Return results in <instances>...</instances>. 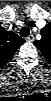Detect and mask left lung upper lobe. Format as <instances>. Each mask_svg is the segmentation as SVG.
<instances>
[{
    "label": "left lung upper lobe",
    "mask_w": 51,
    "mask_h": 101,
    "mask_svg": "<svg viewBox=\"0 0 51 101\" xmlns=\"http://www.w3.org/2000/svg\"><path fill=\"white\" fill-rule=\"evenodd\" d=\"M40 34L42 38L36 40L34 45L41 51L45 59L51 62V23L41 29Z\"/></svg>",
    "instance_id": "1"
}]
</instances>
